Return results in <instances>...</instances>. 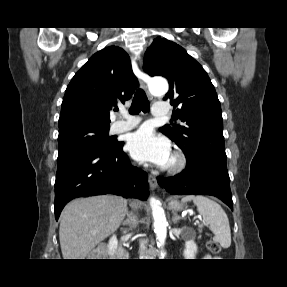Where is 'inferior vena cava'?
I'll return each mask as SVG.
<instances>
[{
	"label": "inferior vena cava",
	"instance_id": "inferior-vena-cava-1",
	"mask_svg": "<svg viewBox=\"0 0 287 287\" xmlns=\"http://www.w3.org/2000/svg\"><path fill=\"white\" fill-rule=\"evenodd\" d=\"M145 243H146L145 241H141V242H140V248H141V249H144V248H145Z\"/></svg>",
	"mask_w": 287,
	"mask_h": 287
}]
</instances>
